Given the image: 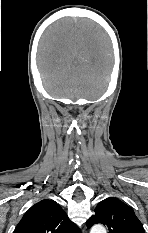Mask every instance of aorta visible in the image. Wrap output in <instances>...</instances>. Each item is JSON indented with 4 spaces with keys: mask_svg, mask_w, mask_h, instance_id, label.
<instances>
[{
    "mask_svg": "<svg viewBox=\"0 0 148 233\" xmlns=\"http://www.w3.org/2000/svg\"><path fill=\"white\" fill-rule=\"evenodd\" d=\"M90 233H107V231L103 225L97 224L91 228Z\"/></svg>",
    "mask_w": 148,
    "mask_h": 233,
    "instance_id": "aorta-1",
    "label": "aorta"
}]
</instances>
